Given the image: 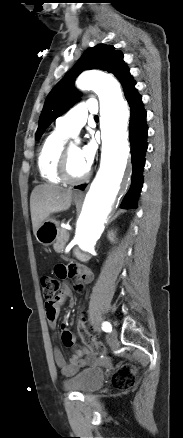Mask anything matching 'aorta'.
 Listing matches in <instances>:
<instances>
[{"label":"aorta","instance_id":"762f6f07","mask_svg":"<svg viewBox=\"0 0 183 438\" xmlns=\"http://www.w3.org/2000/svg\"><path fill=\"white\" fill-rule=\"evenodd\" d=\"M76 85L81 90L92 89L100 101L101 163L86 194L75 232L78 247L91 251L112 212L126 169L130 113L120 84L112 76L88 71L78 77Z\"/></svg>","mask_w":183,"mask_h":438}]
</instances>
